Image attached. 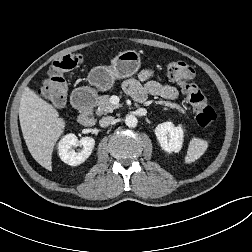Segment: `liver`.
Wrapping results in <instances>:
<instances>
[{
  "label": "liver",
  "instance_id": "6515ba94",
  "mask_svg": "<svg viewBox=\"0 0 252 252\" xmlns=\"http://www.w3.org/2000/svg\"><path fill=\"white\" fill-rule=\"evenodd\" d=\"M19 120L30 154L42 167L51 171L52 152L64 132V119L51 104L26 88L20 100Z\"/></svg>",
  "mask_w": 252,
  "mask_h": 252
}]
</instances>
